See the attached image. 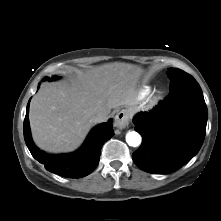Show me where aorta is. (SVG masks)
Returning <instances> with one entry per match:
<instances>
[{
    "label": "aorta",
    "instance_id": "762f6f07",
    "mask_svg": "<svg viewBox=\"0 0 221 221\" xmlns=\"http://www.w3.org/2000/svg\"><path fill=\"white\" fill-rule=\"evenodd\" d=\"M142 138L139 133L135 131H129L126 134V142L129 146L137 147L141 144Z\"/></svg>",
    "mask_w": 221,
    "mask_h": 221
}]
</instances>
